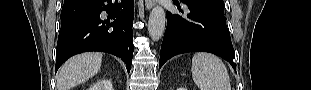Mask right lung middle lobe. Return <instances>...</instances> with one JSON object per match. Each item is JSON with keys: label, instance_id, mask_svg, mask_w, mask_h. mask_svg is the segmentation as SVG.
I'll return each instance as SVG.
<instances>
[{"label": "right lung middle lobe", "instance_id": "dd1d6c3e", "mask_svg": "<svg viewBox=\"0 0 311 90\" xmlns=\"http://www.w3.org/2000/svg\"><path fill=\"white\" fill-rule=\"evenodd\" d=\"M72 0H64V4L65 3H68V2H71Z\"/></svg>", "mask_w": 311, "mask_h": 90}]
</instances>
